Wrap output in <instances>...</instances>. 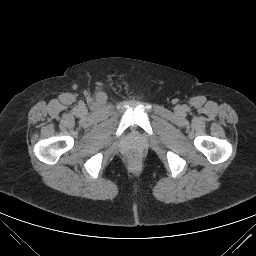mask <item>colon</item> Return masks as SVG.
I'll use <instances>...</instances> for the list:
<instances>
[{
    "label": "colon",
    "instance_id": "1",
    "mask_svg": "<svg viewBox=\"0 0 256 256\" xmlns=\"http://www.w3.org/2000/svg\"><path fill=\"white\" fill-rule=\"evenodd\" d=\"M131 160L135 161L137 159V157L135 155H131Z\"/></svg>",
    "mask_w": 256,
    "mask_h": 256
}]
</instances>
